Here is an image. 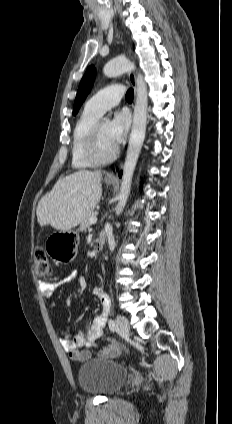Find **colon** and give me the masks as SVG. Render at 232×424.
Listing matches in <instances>:
<instances>
[{
    "mask_svg": "<svg viewBox=\"0 0 232 424\" xmlns=\"http://www.w3.org/2000/svg\"><path fill=\"white\" fill-rule=\"evenodd\" d=\"M34 266L35 272L39 277L50 278L53 274V268L50 264L47 255L43 248H37L34 251ZM104 343L109 344L110 347H114L117 351H122V346L120 343H117L114 337H105Z\"/></svg>",
    "mask_w": 232,
    "mask_h": 424,
    "instance_id": "5ec220e1",
    "label": "colon"
}]
</instances>
